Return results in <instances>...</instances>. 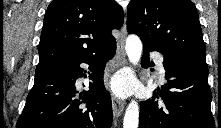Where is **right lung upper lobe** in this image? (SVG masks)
<instances>
[{"instance_id":"right-lung-upper-lobe-1","label":"right lung upper lobe","mask_w":221,"mask_h":128,"mask_svg":"<svg viewBox=\"0 0 221 128\" xmlns=\"http://www.w3.org/2000/svg\"><path fill=\"white\" fill-rule=\"evenodd\" d=\"M123 10L114 0H53L41 33L36 73L74 57H88L115 42Z\"/></svg>"}]
</instances>
